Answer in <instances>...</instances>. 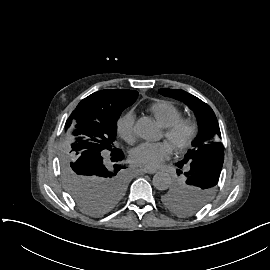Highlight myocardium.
I'll list each match as a JSON object with an SVG mask.
<instances>
[{"label": "myocardium", "instance_id": "f54148a6", "mask_svg": "<svg viewBox=\"0 0 270 270\" xmlns=\"http://www.w3.org/2000/svg\"><path fill=\"white\" fill-rule=\"evenodd\" d=\"M185 128V137H181V131ZM196 122L193 118H181L172 127L167 129V137L178 146L190 145L196 134Z\"/></svg>", "mask_w": 270, "mask_h": 270}]
</instances>
